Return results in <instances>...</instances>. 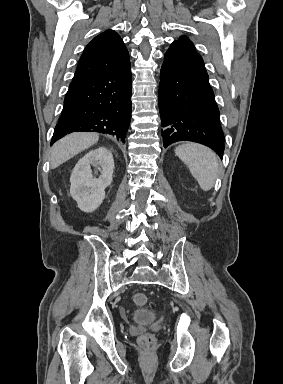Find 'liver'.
Here are the masks:
<instances>
[{
	"instance_id": "liver-1",
	"label": "liver",
	"mask_w": 283,
	"mask_h": 384,
	"mask_svg": "<svg viewBox=\"0 0 283 384\" xmlns=\"http://www.w3.org/2000/svg\"><path fill=\"white\" fill-rule=\"evenodd\" d=\"M98 140L99 134H95V132H75V134H69L62 140H58L51 150L50 164L52 170L73 156H77L79 152L91 148L93 144H97Z\"/></svg>"
}]
</instances>
